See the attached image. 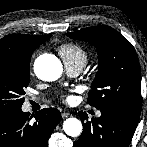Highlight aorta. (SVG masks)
<instances>
[{
    "label": "aorta",
    "instance_id": "obj_1",
    "mask_svg": "<svg viewBox=\"0 0 147 147\" xmlns=\"http://www.w3.org/2000/svg\"><path fill=\"white\" fill-rule=\"evenodd\" d=\"M34 72L38 78L44 81H55L61 77L63 67L60 60L52 54H43L34 62ZM64 132L71 137L82 133V123L76 118H68L63 124Z\"/></svg>",
    "mask_w": 147,
    "mask_h": 147
}]
</instances>
